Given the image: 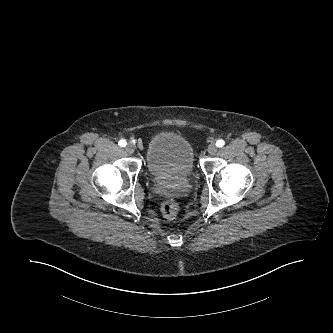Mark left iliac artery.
Returning <instances> with one entry per match:
<instances>
[{
    "mask_svg": "<svg viewBox=\"0 0 333 333\" xmlns=\"http://www.w3.org/2000/svg\"><path fill=\"white\" fill-rule=\"evenodd\" d=\"M224 144H225V142H224V140H222V139H219V140H217V142H216V146H217V147H223Z\"/></svg>",
    "mask_w": 333,
    "mask_h": 333,
    "instance_id": "left-iliac-artery-1",
    "label": "left iliac artery"
}]
</instances>
